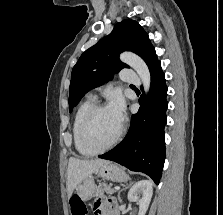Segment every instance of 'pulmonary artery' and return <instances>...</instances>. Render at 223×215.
<instances>
[{"mask_svg":"<svg viewBox=\"0 0 223 215\" xmlns=\"http://www.w3.org/2000/svg\"><path fill=\"white\" fill-rule=\"evenodd\" d=\"M120 74H123V80L125 82H132L134 87H139L140 83L138 73H133V69H120Z\"/></svg>","mask_w":223,"mask_h":215,"instance_id":"1","label":"pulmonary artery"}]
</instances>
